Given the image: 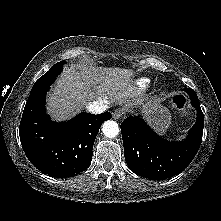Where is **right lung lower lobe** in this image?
I'll list each match as a JSON object with an SVG mask.
<instances>
[{
  "label": "right lung lower lobe",
  "instance_id": "obj_1",
  "mask_svg": "<svg viewBox=\"0 0 221 221\" xmlns=\"http://www.w3.org/2000/svg\"><path fill=\"white\" fill-rule=\"evenodd\" d=\"M48 89L29 95L19 127L20 141L29 161L43 173L73 176L90 165L96 135L111 114L81 113L68 122L54 123L45 113Z\"/></svg>",
  "mask_w": 221,
  "mask_h": 221
}]
</instances>
